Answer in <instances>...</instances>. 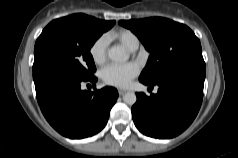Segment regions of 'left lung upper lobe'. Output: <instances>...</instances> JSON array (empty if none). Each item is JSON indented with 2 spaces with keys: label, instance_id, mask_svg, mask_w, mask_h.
Masks as SVG:
<instances>
[{
  "label": "left lung upper lobe",
  "instance_id": "left-lung-upper-lobe-1",
  "mask_svg": "<svg viewBox=\"0 0 238 158\" xmlns=\"http://www.w3.org/2000/svg\"><path fill=\"white\" fill-rule=\"evenodd\" d=\"M151 54L139 81L154 85L169 73L194 65L205 66L199 39L184 24L154 17L140 20H121Z\"/></svg>",
  "mask_w": 238,
  "mask_h": 158
}]
</instances>
